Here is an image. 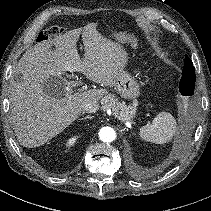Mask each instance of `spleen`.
Listing matches in <instances>:
<instances>
[{"label":"spleen","mask_w":211,"mask_h":211,"mask_svg":"<svg viewBox=\"0 0 211 211\" xmlns=\"http://www.w3.org/2000/svg\"><path fill=\"white\" fill-rule=\"evenodd\" d=\"M176 125V120L170 113L160 112L151 124L141 127L140 136L145 141L164 144L174 136Z\"/></svg>","instance_id":"3e777b00"}]
</instances>
